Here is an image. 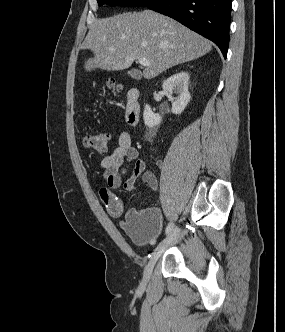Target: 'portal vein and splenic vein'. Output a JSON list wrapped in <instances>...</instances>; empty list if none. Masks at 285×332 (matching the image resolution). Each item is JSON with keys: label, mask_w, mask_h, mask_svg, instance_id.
I'll list each match as a JSON object with an SVG mask.
<instances>
[{"label": "portal vein and splenic vein", "mask_w": 285, "mask_h": 332, "mask_svg": "<svg viewBox=\"0 0 285 332\" xmlns=\"http://www.w3.org/2000/svg\"><path fill=\"white\" fill-rule=\"evenodd\" d=\"M111 52H114L115 49L114 48H110ZM139 63L143 66H150V62L146 59V58H140L139 59Z\"/></svg>", "instance_id": "obj_1"}]
</instances>
